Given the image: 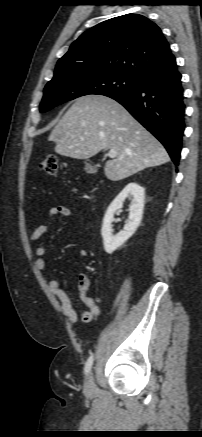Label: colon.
Instances as JSON below:
<instances>
[{"instance_id": "5ec220e1", "label": "colon", "mask_w": 202, "mask_h": 437, "mask_svg": "<svg viewBox=\"0 0 202 437\" xmlns=\"http://www.w3.org/2000/svg\"><path fill=\"white\" fill-rule=\"evenodd\" d=\"M39 168L48 175H55L59 169V160L56 156H47L41 161Z\"/></svg>"}]
</instances>
